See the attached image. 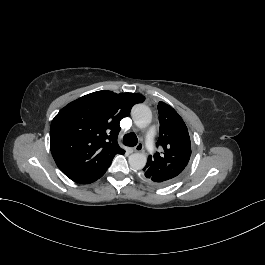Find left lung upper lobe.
Instances as JSON below:
<instances>
[{
	"label": "left lung upper lobe",
	"mask_w": 265,
	"mask_h": 265,
	"mask_svg": "<svg viewBox=\"0 0 265 265\" xmlns=\"http://www.w3.org/2000/svg\"><path fill=\"white\" fill-rule=\"evenodd\" d=\"M158 112L160 131L157 146L160 145L164 152L149 155L143 172L152 183L166 186L184 172L191 155V142L183 119L170 105L159 102Z\"/></svg>",
	"instance_id": "1"
}]
</instances>
